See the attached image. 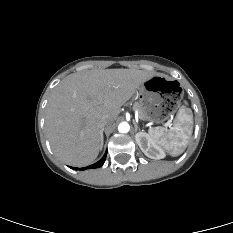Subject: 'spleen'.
<instances>
[{
  "mask_svg": "<svg viewBox=\"0 0 233 233\" xmlns=\"http://www.w3.org/2000/svg\"><path fill=\"white\" fill-rule=\"evenodd\" d=\"M192 132V111L187 106H182L170 129L155 127L149 131V136L170 155L178 156L186 149Z\"/></svg>",
  "mask_w": 233,
  "mask_h": 233,
  "instance_id": "obj_1",
  "label": "spleen"
}]
</instances>
